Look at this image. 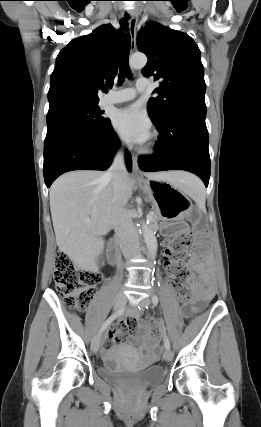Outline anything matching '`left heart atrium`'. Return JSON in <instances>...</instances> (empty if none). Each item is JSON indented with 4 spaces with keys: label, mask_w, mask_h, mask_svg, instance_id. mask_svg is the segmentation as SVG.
<instances>
[{
    "label": "left heart atrium",
    "mask_w": 261,
    "mask_h": 427,
    "mask_svg": "<svg viewBox=\"0 0 261 427\" xmlns=\"http://www.w3.org/2000/svg\"><path fill=\"white\" fill-rule=\"evenodd\" d=\"M113 124L129 143L144 144L151 136V122L147 114L137 105L116 112Z\"/></svg>",
    "instance_id": "39dd6f15"
}]
</instances>
